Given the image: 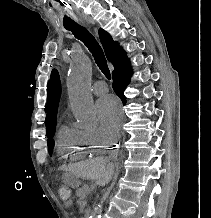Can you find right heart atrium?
I'll use <instances>...</instances> for the list:
<instances>
[{
  "instance_id": "d8ad5b80",
  "label": "right heart atrium",
  "mask_w": 211,
  "mask_h": 218,
  "mask_svg": "<svg viewBox=\"0 0 211 218\" xmlns=\"http://www.w3.org/2000/svg\"><path fill=\"white\" fill-rule=\"evenodd\" d=\"M81 131L86 140L95 145L105 146L109 145L112 141V138L105 130L97 127L91 129H83Z\"/></svg>"
}]
</instances>
